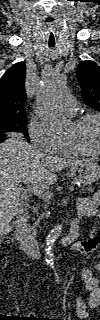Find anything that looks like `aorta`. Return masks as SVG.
<instances>
[{"mask_svg": "<svg viewBox=\"0 0 100 320\" xmlns=\"http://www.w3.org/2000/svg\"><path fill=\"white\" fill-rule=\"evenodd\" d=\"M65 75L54 72L43 78L37 96V105L43 123L52 131L64 130L69 120L56 108L55 102L64 89ZM62 225L55 226L46 237L45 261L54 264V245L62 233Z\"/></svg>", "mask_w": 100, "mask_h": 320, "instance_id": "aorta-1", "label": "aorta"}]
</instances>
